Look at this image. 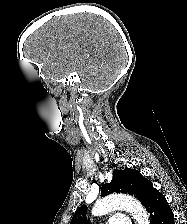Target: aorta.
I'll return each instance as SVG.
<instances>
[{
	"mask_svg": "<svg viewBox=\"0 0 187 224\" xmlns=\"http://www.w3.org/2000/svg\"><path fill=\"white\" fill-rule=\"evenodd\" d=\"M120 209L127 211L136 224H149L147 211L141 203L137 199L125 195L109 196L96 202L92 209V215L102 216Z\"/></svg>",
	"mask_w": 187,
	"mask_h": 224,
	"instance_id": "1",
	"label": "aorta"
}]
</instances>
